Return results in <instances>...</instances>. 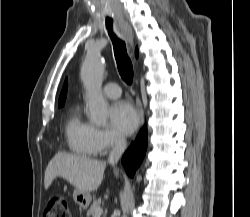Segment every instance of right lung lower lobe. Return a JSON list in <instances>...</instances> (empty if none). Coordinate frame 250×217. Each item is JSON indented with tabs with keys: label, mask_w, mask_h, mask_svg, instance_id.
<instances>
[{
	"label": "right lung lower lobe",
	"mask_w": 250,
	"mask_h": 217,
	"mask_svg": "<svg viewBox=\"0 0 250 217\" xmlns=\"http://www.w3.org/2000/svg\"><path fill=\"white\" fill-rule=\"evenodd\" d=\"M147 149V127L146 125L141 129L135 142H133L125 152L122 163L126 169L127 174L133 177L137 168L143 161Z\"/></svg>",
	"instance_id": "1"
}]
</instances>
